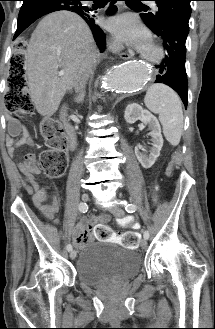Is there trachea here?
I'll return each instance as SVG.
<instances>
[{"label": "trachea", "mask_w": 215, "mask_h": 329, "mask_svg": "<svg viewBox=\"0 0 215 329\" xmlns=\"http://www.w3.org/2000/svg\"><path fill=\"white\" fill-rule=\"evenodd\" d=\"M126 3L129 4H133V5H138V6H145L144 4L138 3L135 0H125Z\"/></svg>", "instance_id": "1"}]
</instances>
